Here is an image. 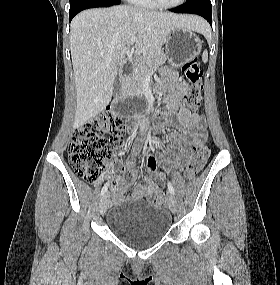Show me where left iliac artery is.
I'll list each match as a JSON object with an SVG mask.
<instances>
[{
    "mask_svg": "<svg viewBox=\"0 0 280 285\" xmlns=\"http://www.w3.org/2000/svg\"><path fill=\"white\" fill-rule=\"evenodd\" d=\"M168 189L172 195H175V190L171 182H168Z\"/></svg>",
    "mask_w": 280,
    "mask_h": 285,
    "instance_id": "left-iliac-artery-1",
    "label": "left iliac artery"
}]
</instances>
